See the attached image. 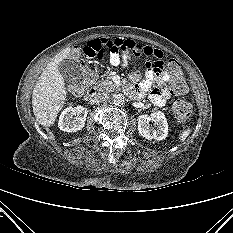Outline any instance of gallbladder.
Wrapping results in <instances>:
<instances>
[{
  "label": "gallbladder",
  "instance_id": "bac80fb5",
  "mask_svg": "<svg viewBox=\"0 0 233 233\" xmlns=\"http://www.w3.org/2000/svg\"><path fill=\"white\" fill-rule=\"evenodd\" d=\"M58 70L63 78L68 82L80 80L82 71L80 66L70 59H64L58 64Z\"/></svg>",
  "mask_w": 233,
  "mask_h": 233
}]
</instances>
